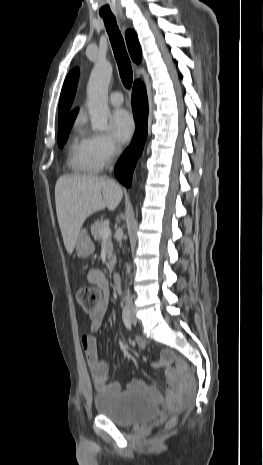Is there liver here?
<instances>
[{"instance_id": "obj_1", "label": "liver", "mask_w": 263, "mask_h": 465, "mask_svg": "<svg viewBox=\"0 0 263 465\" xmlns=\"http://www.w3.org/2000/svg\"><path fill=\"white\" fill-rule=\"evenodd\" d=\"M123 191L113 180L96 175H63L55 185V203L65 248L72 254L85 220L97 211H113Z\"/></svg>"}]
</instances>
